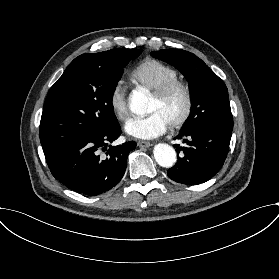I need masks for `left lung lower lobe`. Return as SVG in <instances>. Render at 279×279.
I'll return each instance as SVG.
<instances>
[{
	"instance_id": "0a47b994",
	"label": "left lung lower lobe",
	"mask_w": 279,
	"mask_h": 279,
	"mask_svg": "<svg viewBox=\"0 0 279 279\" xmlns=\"http://www.w3.org/2000/svg\"><path fill=\"white\" fill-rule=\"evenodd\" d=\"M232 129L202 125L189 130H181L174 139H182L184 156L167 171L172 180L196 185L211 179L223 166L229 151Z\"/></svg>"
}]
</instances>
